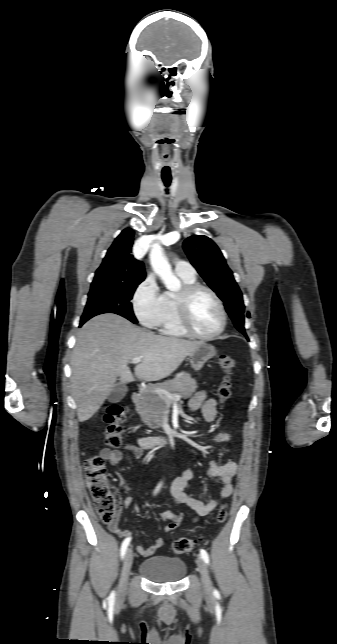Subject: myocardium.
<instances>
[{
    "instance_id": "myocardium-1",
    "label": "myocardium",
    "mask_w": 337,
    "mask_h": 644,
    "mask_svg": "<svg viewBox=\"0 0 337 644\" xmlns=\"http://www.w3.org/2000/svg\"><path fill=\"white\" fill-rule=\"evenodd\" d=\"M208 292L215 302L217 303L220 314H221V323L219 328L210 335H202L196 332L191 324L190 320V305L194 296L200 292ZM176 314L178 322L184 332L192 338L199 339L202 341H211L219 337L225 330L227 326V311L225 305L220 298V296L209 286L201 283H192L184 285L180 292L176 295Z\"/></svg>"
}]
</instances>
